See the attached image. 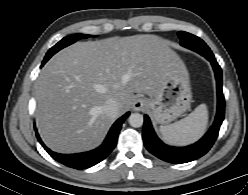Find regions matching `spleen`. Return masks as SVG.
Listing matches in <instances>:
<instances>
[{
	"label": "spleen",
	"mask_w": 248,
	"mask_h": 195,
	"mask_svg": "<svg viewBox=\"0 0 248 195\" xmlns=\"http://www.w3.org/2000/svg\"><path fill=\"white\" fill-rule=\"evenodd\" d=\"M207 123V106L200 104L184 119L170 125L160 126L159 130L166 143L187 145L198 140L204 134Z\"/></svg>",
	"instance_id": "spleen-1"
}]
</instances>
